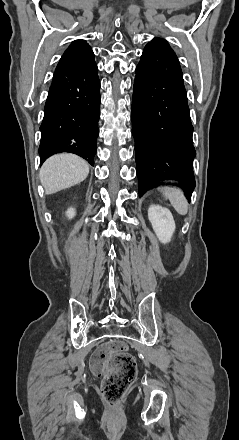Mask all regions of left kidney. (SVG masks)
Wrapping results in <instances>:
<instances>
[{"instance_id":"1","label":"left kidney","mask_w":239,"mask_h":440,"mask_svg":"<svg viewBox=\"0 0 239 440\" xmlns=\"http://www.w3.org/2000/svg\"><path fill=\"white\" fill-rule=\"evenodd\" d=\"M148 218L158 240L162 244L170 242L176 228L170 210L162 208L159 204H152L148 210Z\"/></svg>"}]
</instances>
